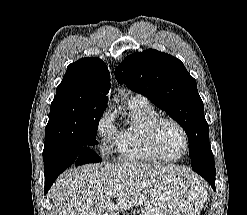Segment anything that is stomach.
<instances>
[{"mask_svg": "<svg viewBox=\"0 0 247 215\" xmlns=\"http://www.w3.org/2000/svg\"><path fill=\"white\" fill-rule=\"evenodd\" d=\"M206 199L202 180L193 173L182 172L144 202L141 215H199Z\"/></svg>", "mask_w": 247, "mask_h": 215, "instance_id": "stomach-1", "label": "stomach"}]
</instances>
